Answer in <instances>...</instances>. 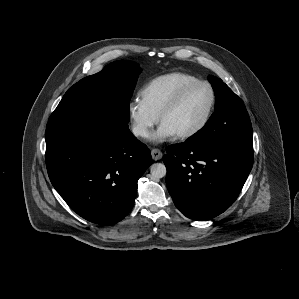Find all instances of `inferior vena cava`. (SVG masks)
Listing matches in <instances>:
<instances>
[{
    "label": "inferior vena cava",
    "mask_w": 299,
    "mask_h": 299,
    "mask_svg": "<svg viewBox=\"0 0 299 299\" xmlns=\"http://www.w3.org/2000/svg\"><path fill=\"white\" fill-rule=\"evenodd\" d=\"M132 132L135 136H147L148 131L145 127L136 125L133 127Z\"/></svg>",
    "instance_id": "obj_1"
}]
</instances>
